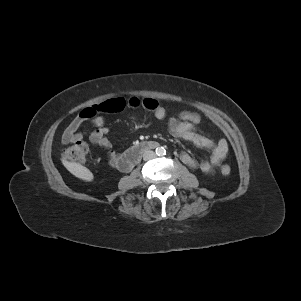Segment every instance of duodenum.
<instances>
[{
    "mask_svg": "<svg viewBox=\"0 0 301 301\" xmlns=\"http://www.w3.org/2000/svg\"><path fill=\"white\" fill-rule=\"evenodd\" d=\"M158 146L159 144L155 141H144L133 146L123 154L121 160V169L123 171L131 170L146 151L154 149Z\"/></svg>",
    "mask_w": 301,
    "mask_h": 301,
    "instance_id": "obj_1",
    "label": "duodenum"
}]
</instances>
